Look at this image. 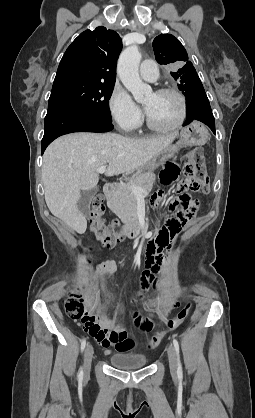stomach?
I'll return each instance as SVG.
<instances>
[{
  "label": "stomach",
  "instance_id": "1",
  "mask_svg": "<svg viewBox=\"0 0 255 418\" xmlns=\"http://www.w3.org/2000/svg\"><path fill=\"white\" fill-rule=\"evenodd\" d=\"M209 137L208 130L204 125L198 122H194L191 125L184 127L180 131V140L175 145H170L151 160H149L144 166H142L137 172L152 171L163 165L166 161L171 159L175 153L182 146H201L204 145Z\"/></svg>",
  "mask_w": 255,
  "mask_h": 418
}]
</instances>
